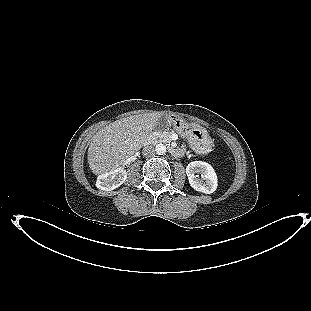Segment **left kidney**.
I'll use <instances>...</instances> for the list:
<instances>
[{
    "label": "left kidney",
    "instance_id": "obj_1",
    "mask_svg": "<svg viewBox=\"0 0 311 311\" xmlns=\"http://www.w3.org/2000/svg\"><path fill=\"white\" fill-rule=\"evenodd\" d=\"M201 173V179L195 175ZM190 186L199 192L211 194L217 189L218 179L213 167L202 161H193L186 167Z\"/></svg>",
    "mask_w": 311,
    "mask_h": 311
}]
</instances>
